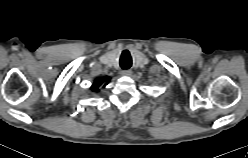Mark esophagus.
<instances>
[{
	"mask_svg": "<svg viewBox=\"0 0 248 158\" xmlns=\"http://www.w3.org/2000/svg\"><path fill=\"white\" fill-rule=\"evenodd\" d=\"M121 74H122L123 76H130V75L132 74V71H131V70H123V71L121 72Z\"/></svg>",
	"mask_w": 248,
	"mask_h": 158,
	"instance_id": "34e87169",
	"label": "esophagus"
}]
</instances>
